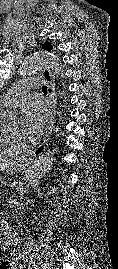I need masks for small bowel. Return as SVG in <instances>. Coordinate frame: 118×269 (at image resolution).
<instances>
[{"instance_id":"c3829d8e","label":"small bowel","mask_w":118,"mask_h":269,"mask_svg":"<svg viewBox=\"0 0 118 269\" xmlns=\"http://www.w3.org/2000/svg\"><path fill=\"white\" fill-rule=\"evenodd\" d=\"M0 230L2 231L1 244L3 246L9 247L18 244V237L10 230L6 221L0 223Z\"/></svg>"}]
</instances>
